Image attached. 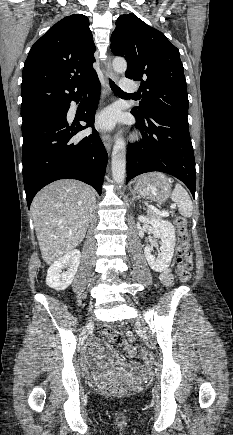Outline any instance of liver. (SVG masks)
<instances>
[{"label": "liver", "mask_w": 233, "mask_h": 435, "mask_svg": "<svg viewBox=\"0 0 233 435\" xmlns=\"http://www.w3.org/2000/svg\"><path fill=\"white\" fill-rule=\"evenodd\" d=\"M95 203L93 189L72 179L55 181L36 194L31 212L41 255L47 264L82 242Z\"/></svg>", "instance_id": "6515ba94"}]
</instances>
